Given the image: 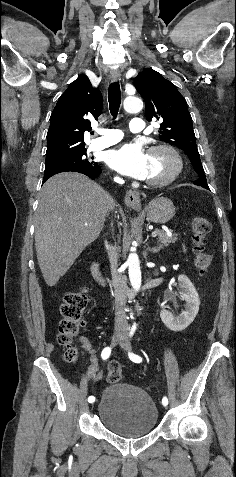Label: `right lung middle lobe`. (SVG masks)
<instances>
[{
  "label": "right lung middle lobe",
  "mask_w": 236,
  "mask_h": 477,
  "mask_svg": "<svg viewBox=\"0 0 236 477\" xmlns=\"http://www.w3.org/2000/svg\"><path fill=\"white\" fill-rule=\"evenodd\" d=\"M97 167L98 163L91 161V158L87 157L86 155V149H83L73 155L52 162H46L44 175L57 174L60 172L78 169L92 171Z\"/></svg>",
  "instance_id": "right-lung-middle-lobe-1"
}]
</instances>
